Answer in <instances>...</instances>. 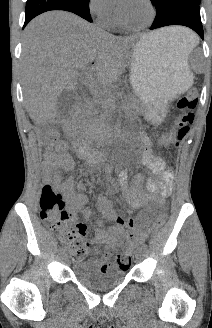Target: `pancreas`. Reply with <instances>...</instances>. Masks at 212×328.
Segmentation results:
<instances>
[{
    "label": "pancreas",
    "mask_w": 212,
    "mask_h": 328,
    "mask_svg": "<svg viewBox=\"0 0 212 328\" xmlns=\"http://www.w3.org/2000/svg\"><path fill=\"white\" fill-rule=\"evenodd\" d=\"M100 101L104 108L103 114L98 115L93 112L92 104H86L79 116V129L87 139H93L99 136L102 131L103 122L116 108L115 99L112 95L103 96ZM122 106L125 109H137L140 106V102L134 97H129Z\"/></svg>",
    "instance_id": "cf45deb5"
}]
</instances>
